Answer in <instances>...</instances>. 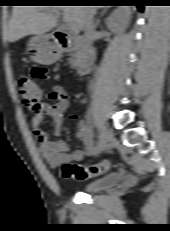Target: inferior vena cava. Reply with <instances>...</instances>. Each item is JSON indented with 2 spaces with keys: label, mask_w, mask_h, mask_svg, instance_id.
Segmentation results:
<instances>
[{
  "label": "inferior vena cava",
  "mask_w": 170,
  "mask_h": 231,
  "mask_svg": "<svg viewBox=\"0 0 170 231\" xmlns=\"http://www.w3.org/2000/svg\"><path fill=\"white\" fill-rule=\"evenodd\" d=\"M94 14L95 10L91 6L85 7L84 12V30H85V38L88 41H93L95 36V28L96 25L94 23Z\"/></svg>",
  "instance_id": "602c4592"
}]
</instances>
